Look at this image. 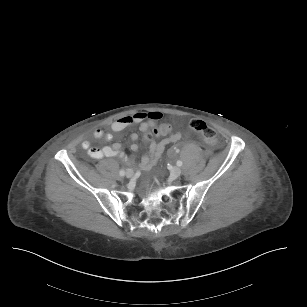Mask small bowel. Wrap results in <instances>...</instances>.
I'll use <instances>...</instances> for the list:
<instances>
[{
	"mask_svg": "<svg viewBox=\"0 0 307 307\" xmlns=\"http://www.w3.org/2000/svg\"><path fill=\"white\" fill-rule=\"evenodd\" d=\"M162 119V113L159 111H150V112H135L130 115H126L120 117L116 121H114L111 125V129L114 132H120L124 129L128 128L133 124H140V130L143 134V140H145L144 134L145 131L153 125L160 124L159 121ZM93 137L96 139H103L106 142L112 140V134L106 133L102 129H95L93 131ZM138 138L136 133L131 134V140L136 141ZM181 134L172 132L169 135H165L163 140L156 145L150 144L149 151L145 154L139 166L141 169L147 170L153 167L161 154L163 153L166 145L172 142H176L180 140ZM148 143V142H147ZM82 148L88 152V154L95 159H102L104 157H121L124 158V153L122 152V146L119 143H115L112 146H104L102 148H92L89 141L85 140L82 142ZM131 150L133 152L138 150V145L136 143L131 144ZM127 163H131V161L125 158Z\"/></svg>",
	"mask_w": 307,
	"mask_h": 307,
	"instance_id": "1",
	"label": "small bowel"
}]
</instances>
